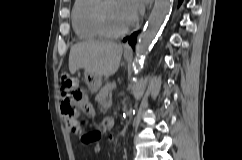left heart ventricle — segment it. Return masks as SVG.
<instances>
[{"instance_id":"b2bd125f","label":"left heart ventricle","mask_w":242,"mask_h":160,"mask_svg":"<svg viewBox=\"0 0 242 160\" xmlns=\"http://www.w3.org/2000/svg\"><path fill=\"white\" fill-rule=\"evenodd\" d=\"M105 26L111 32H119L128 25V19L119 0H107L103 7Z\"/></svg>"}]
</instances>
